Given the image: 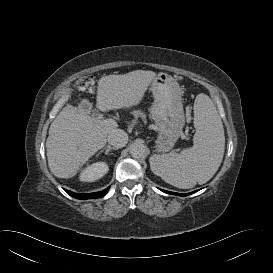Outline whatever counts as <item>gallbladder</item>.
<instances>
[{"label":"gallbladder","instance_id":"bac80fb5","mask_svg":"<svg viewBox=\"0 0 273 273\" xmlns=\"http://www.w3.org/2000/svg\"><path fill=\"white\" fill-rule=\"evenodd\" d=\"M82 107H83L84 109L90 108L87 104H82Z\"/></svg>","mask_w":273,"mask_h":273}]
</instances>
